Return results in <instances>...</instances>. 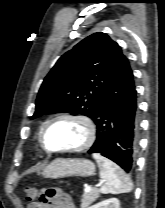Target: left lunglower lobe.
Masks as SVG:
<instances>
[{"label": "left lung lower lobe", "instance_id": "1", "mask_svg": "<svg viewBox=\"0 0 165 208\" xmlns=\"http://www.w3.org/2000/svg\"><path fill=\"white\" fill-rule=\"evenodd\" d=\"M93 120L97 124V138L88 153H100L131 172L137 150L139 117L128 60L103 95Z\"/></svg>", "mask_w": 165, "mask_h": 208}]
</instances>
